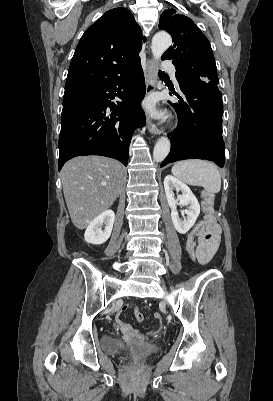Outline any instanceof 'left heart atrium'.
Segmentation results:
<instances>
[{
	"label": "left heart atrium",
	"mask_w": 273,
	"mask_h": 401,
	"mask_svg": "<svg viewBox=\"0 0 273 401\" xmlns=\"http://www.w3.org/2000/svg\"><path fill=\"white\" fill-rule=\"evenodd\" d=\"M146 107H147L148 109L152 110L153 107H154V104H153V103H149V104L146 105Z\"/></svg>",
	"instance_id": "1"
}]
</instances>
